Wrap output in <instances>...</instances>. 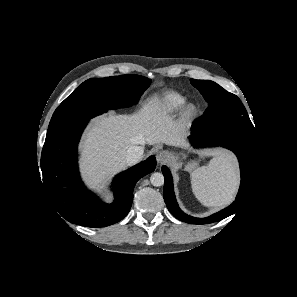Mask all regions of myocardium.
I'll use <instances>...</instances> for the list:
<instances>
[{
	"mask_svg": "<svg viewBox=\"0 0 297 297\" xmlns=\"http://www.w3.org/2000/svg\"><path fill=\"white\" fill-rule=\"evenodd\" d=\"M199 114V109L196 105L194 104H187L184 106L181 112V120L185 124H189L193 120L196 119V117Z\"/></svg>",
	"mask_w": 297,
	"mask_h": 297,
	"instance_id": "myocardium-1",
	"label": "myocardium"
}]
</instances>
